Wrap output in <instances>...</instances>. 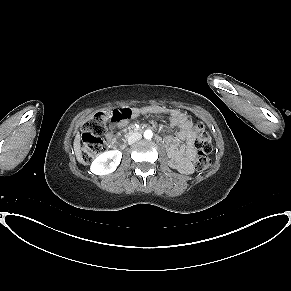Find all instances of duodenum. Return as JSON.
<instances>
[{
	"instance_id": "duodenum-1",
	"label": "duodenum",
	"mask_w": 291,
	"mask_h": 291,
	"mask_svg": "<svg viewBox=\"0 0 291 291\" xmlns=\"http://www.w3.org/2000/svg\"><path fill=\"white\" fill-rule=\"evenodd\" d=\"M141 127L139 124L134 123L129 125L127 128L118 132L113 139V147L115 150L120 151L126 146V140L132 137L134 134L139 133Z\"/></svg>"
}]
</instances>
